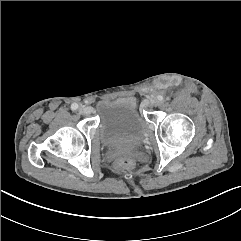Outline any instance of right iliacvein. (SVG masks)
<instances>
[{
    "label": "right iliac vein",
    "mask_w": 241,
    "mask_h": 241,
    "mask_svg": "<svg viewBox=\"0 0 241 241\" xmlns=\"http://www.w3.org/2000/svg\"><path fill=\"white\" fill-rule=\"evenodd\" d=\"M79 112L85 115H89L91 113V109L89 107L81 106L79 108Z\"/></svg>",
    "instance_id": "right-iliac-vein-1"
}]
</instances>
